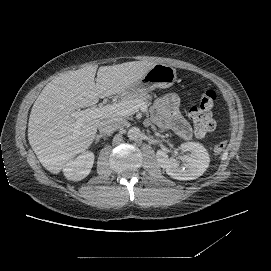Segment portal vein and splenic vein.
I'll use <instances>...</instances> for the list:
<instances>
[{
	"label": "portal vein and splenic vein",
	"mask_w": 271,
	"mask_h": 271,
	"mask_svg": "<svg viewBox=\"0 0 271 271\" xmlns=\"http://www.w3.org/2000/svg\"><path fill=\"white\" fill-rule=\"evenodd\" d=\"M139 109L144 114L148 112V106L145 102L140 100H131L118 104H108L100 107L93 106L89 109L75 111L73 112V116L80 120L85 118H103L107 116H130Z\"/></svg>",
	"instance_id": "portal-vein-and-splenic-vein-1"
}]
</instances>
